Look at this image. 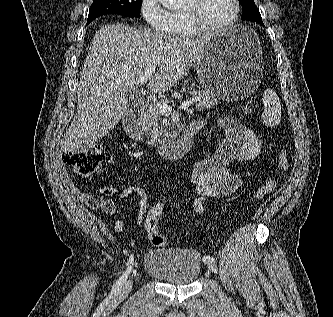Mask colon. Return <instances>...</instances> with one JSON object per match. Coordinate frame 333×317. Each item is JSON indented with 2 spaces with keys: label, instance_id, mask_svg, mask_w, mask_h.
<instances>
[{
  "label": "colon",
  "instance_id": "obj_1",
  "mask_svg": "<svg viewBox=\"0 0 333 317\" xmlns=\"http://www.w3.org/2000/svg\"><path fill=\"white\" fill-rule=\"evenodd\" d=\"M241 111L245 114L252 113V108L243 105ZM106 156L102 153L99 145H92L85 150L67 152L63 156L65 165L70 167L76 174L88 177L94 174L101 166ZM278 167L281 172L289 168L288 155L286 150L282 149L278 154ZM275 178L267 179L256 191L255 198L261 200L269 195L276 187ZM167 213L165 205L157 203L149 205L144 218V229L150 242L158 247L168 245L167 238L159 231L160 222Z\"/></svg>",
  "mask_w": 333,
  "mask_h": 317
}]
</instances>
